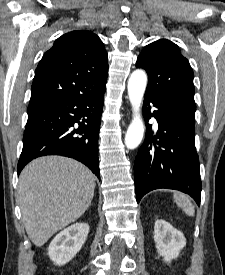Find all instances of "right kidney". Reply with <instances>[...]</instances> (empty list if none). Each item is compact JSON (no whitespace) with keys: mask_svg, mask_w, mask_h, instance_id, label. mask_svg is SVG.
<instances>
[{"mask_svg":"<svg viewBox=\"0 0 225 275\" xmlns=\"http://www.w3.org/2000/svg\"><path fill=\"white\" fill-rule=\"evenodd\" d=\"M88 233L87 223H76L62 230L48 247L50 259L59 266L68 263L80 251Z\"/></svg>","mask_w":225,"mask_h":275,"instance_id":"right-kidney-1","label":"right kidney"}]
</instances>
